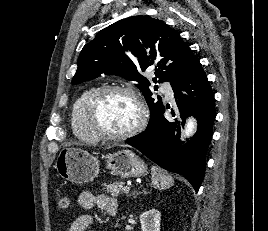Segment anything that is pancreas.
I'll return each instance as SVG.
<instances>
[{
	"label": "pancreas",
	"mask_w": 268,
	"mask_h": 231,
	"mask_svg": "<svg viewBox=\"0 0 268 231\" xmlns=\"http://www.w3.org/2000/svg\"><path fill=\"white\" fill-rule=\"evenodd\" d=\"M124 182H110L103 184V190L111 196L117 197L123 192Z\"/></svg>",
	"instance_id": "cf45deb5"
}]
</instances>
